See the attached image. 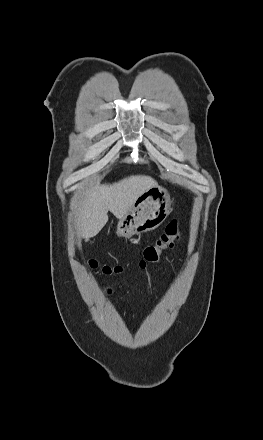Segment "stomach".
I'll use <instances>...</instances> for the list:
<instances>
[{"label": "stomach", "mask_w": 263, "mask_h": 440, "mask_svg": "<svg viewBox=\"0 0 263 440\" xmlns=\"http://www.w3.org/2000/svg\"><path fill=\"white\" fill-rule=\"evenodd\" d=\"M172 200L167 189L155 185L145 190L119 220L117 234L131 237L158 228L171 212Z\"/></svg>", "instance_id": "1"}]
</instances>
